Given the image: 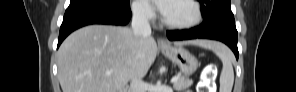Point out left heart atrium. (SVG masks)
Instances as JSON below:
<instances>
[{
  "label": "left heart atrium",
  "instance_id": "obj_1",
  "mask_svg": "<svg viewBox=\"0 0 296 92\" xmlns=\"http://www.w3.org/2000/svg\"><path fill=\"white\" fill-rule=\"evenodd\" d=\"M158 8V10L165 15L168 7H169V3L168 1H162V0H156V1H152Z\"/></svg>",
  "mask_w": 296,
  "mask_h": 92
}]
</instances>
